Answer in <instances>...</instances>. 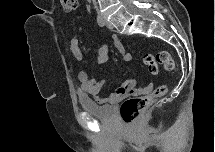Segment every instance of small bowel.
Wrapping results in <instances>:
<instances>
[{
    "instance_id": "obj_1",
    "label": "small bowel",
    "mask_w": 215,
    "mask_h": 152,
    "mask_svg": "<svg viewBox=\"0 0 215 152\" xmlns=\"http://www.w3.org/2000/svg\"><path fill=\"white\" fill-rule=\"evenodd\" d=\"M115 44L118 49L123 53L125 60L131 59L130 53H124L120 43L115 38ZM70 49L74 58L78 61L84 59V53L77 38H72L70 41ZM109 59V48L107 45H100L96 51L95 61L99 64L106 63ZM80 83L81 91L83 94L92 96L96 101L101 104L114 103L127 95H144L152 90L153 84L147 86H139L136 78H129L126 80L115 92L111 93L109 97H101L99 95L101 89L105 85V80H92L89 78L85 71H79L77 74Z\"/></svg>"
}]
</instances>
